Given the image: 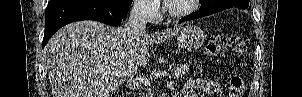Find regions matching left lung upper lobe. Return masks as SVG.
Returning a JSON list of instances; mask_svg holds the SVG:
<instances>
[{
    "label": "left lung upper lobe",
    "mask_w": 302,
    "mask_h": 97,
    "mask_svg": "<svg viewBox=\"0 0 302 97\" xmlns=\"http://www.w3.org/2000/svg\"><path fill=\"white\" fill-rule=\"evenodd\" d=\"M203 6L212 5L216 9L224 10L231 7H241L249 3V0H201Z\"/></svg>",
    "instance_id": "left-lung-upper-lobe-1"
}]
</instances>
